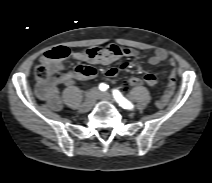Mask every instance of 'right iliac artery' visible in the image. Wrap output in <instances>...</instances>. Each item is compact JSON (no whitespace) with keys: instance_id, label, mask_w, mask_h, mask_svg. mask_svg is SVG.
I'll list each match as a JSON object with an SVG mask.
<instances>
[{"instance_id":"82829eb1","label":"right iliac artery","mask_w":212,"mask_h":183,"mask_svg":"<svg viewBox=\"0 0 212 183\" xmlns=\"http://www.w3.org/2000/svg\"><path fill=\"white\" fill-rule=\"evenodd\" d=\"M107 88H108V85H106V84H104V83H101V84L99 85V89H100L101 91H106Z\"/></svg>"}]
</instances>
